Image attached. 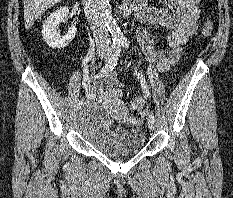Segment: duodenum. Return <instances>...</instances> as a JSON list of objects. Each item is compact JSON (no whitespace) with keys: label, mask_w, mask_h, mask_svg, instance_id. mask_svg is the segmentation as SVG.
<instances>
[{"label":"duodenum","mask_w":233,"mask_h":198,"mask_svg":"<svg viewBox=\"0 0 233 198\" xmlns=\"http://www.w3.org/2000/svg\"><path fill=\"white\" fill-rule=\"evenodd\" d=\"M144 4V0H125L122 10L124 14L129 15L133 11L139 9Z\"/></svg>","instance_id":"obj_1"}]
</instances>
